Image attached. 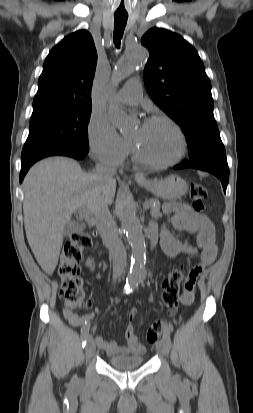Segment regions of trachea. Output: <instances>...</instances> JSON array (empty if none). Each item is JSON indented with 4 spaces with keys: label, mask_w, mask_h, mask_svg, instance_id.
<instances>
[{
    "label": "trachea",
    "mask_w": 253,
    "mask_h": 413,
    "mask_svg": "<svg viewBox=\"0 0 253 413\" xmlns=\"http://www.w3.org/2000/svg\"><path fill=\"white\" fill-rule=\"evenodd\" d=\"M127 14H114V44L117 48L120 47L121 39L127 23Z\"/></svg>",
    "instance_id": "3493384b"
}]
</instances>
